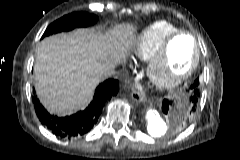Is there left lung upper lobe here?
Segmentation results:
<instances>
[{"instance_id":"obj_1","label":"left lung upper lobe","mask_w":240,"mask_h":160,"mask_svg":"<svg viewBox=\"0 0 240 160\" xmlns=\"http://www.w3.org/2000/svg\"><path fill=\"white\" fill-rule=\"evenodd\" d=\"M198 85H199V81H198V79L194 82V84L192 85V87L193 88H195V87H198Z\"/></svg>"}]
</instances>
